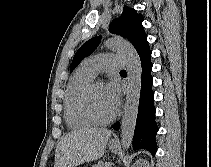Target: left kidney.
Wrapping results in <instances>:
<instances>
[{"instance_id":"left-kidney-1","label":"left kidney","mask_w":211,"mask_h":167,"mask_svg":"<svg viewBox=\"0 0 211 167\" xmlns=\"http://www.w3.org/2000/svg\"><path fill=\"white\" fill-rule=\"evenodd\" d=\"M134 167H150V166L147 161H143L140 159L135 163Z\"/></svg>"}]
</instances>
